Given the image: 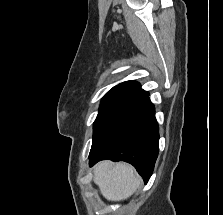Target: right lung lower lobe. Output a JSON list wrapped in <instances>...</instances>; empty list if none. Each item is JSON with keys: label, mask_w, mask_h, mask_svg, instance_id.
I'll list each match as a JSON object with an SVG mask.
<instances>
[{"label": "right lung lower lobe", "mask_w": 223, "mask_h": 215, "mask_svg": "<svg viewBox=\"0 0 223 215\" xmlns=\"http://www.w3.org/2000/svg\"><path fill=\"white\" fill-rule=\"evenodd\" d=\"M155 109L147 97L126 115L89 154V165L105 159L132 164L147 183L159 150Z\"/></svg>", "instance_id": "right-lung-lower-lobe-1"}]
</instances>
